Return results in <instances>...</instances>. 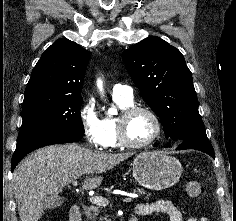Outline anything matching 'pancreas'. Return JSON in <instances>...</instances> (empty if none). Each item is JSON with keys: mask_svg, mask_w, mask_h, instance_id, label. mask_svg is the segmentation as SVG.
<instances>
[{"mask_svg": "<svg viewBox=\"0 0 236 221\" xmlns=\"http://www.w3.org/2000/svg\"><path fill=\"white\" fill-rule=\"evenodd\" d=\"M136 191L141 193V194L145 193V191L143 189H140V188H137L135 190V192ZM102 212H103L102 208L99 207V206L92 205V206L88 207L86 212H85L86 217H87L86 221H97V220H99V221H104V220L109 221L107 219V215L106 214L102 215L101 214Z\"/></svg>", "mask_w": 236, "mask_h": 221, "instance_id": "obj_1", "label": "pancreas"}]
</instances>
